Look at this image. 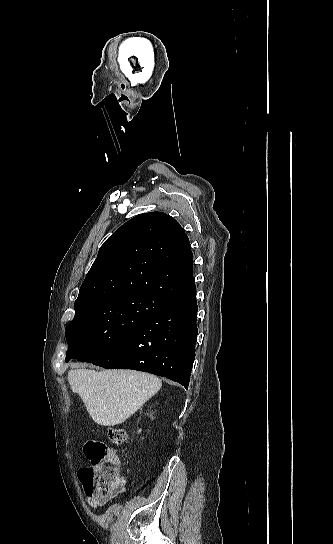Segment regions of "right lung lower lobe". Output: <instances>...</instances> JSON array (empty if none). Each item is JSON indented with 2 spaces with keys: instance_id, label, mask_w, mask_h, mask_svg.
Listing matches in <instances>:
<instances>
[{
  "instance_id": "1",
  "label": "right lung lower lobe",
  "mask_w": 333,
  "mask_h": 544,
  "mask_svg": "<svg viewBox=\"0 0 333 544\" xmlns=\"http://www.w3.org/2000/svg\"><path fill=\"white\" fill-rule=\"evenodd\" d=\"M196 288L168 300L136 331L80 361L164 376L188 388L198 329Z\"/></svg>"
}]
</instances>
